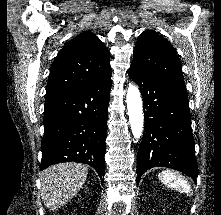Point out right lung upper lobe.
<instances>
[{
	"label": "right lung upper lobe",
	"mask_w": 221,
	"mask_h": 215,
	"mask_svg": "<svg viewBox=\"0 0 221 215\" xmlns=\"http://www.w3.org/2000/svg\"><path fill=\"white\" fill-rule=\"evenodd\" d=\"M109 51L91 32L67 42L54 60L45 103H49L111 75Z\"/></svg>",
	"instance_id": "cb5924a9"
}]
</instances>
